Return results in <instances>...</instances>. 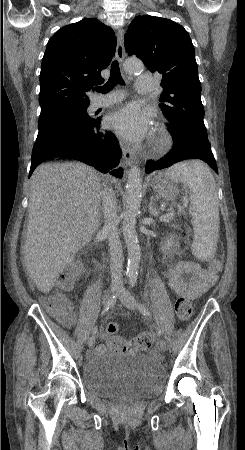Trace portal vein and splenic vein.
Here are the masks:
<instances>
[{"mask_svg":"<svg viewBox=\"0 0 245 450\" xmlns=\"http://www.w3.org/2000/svg\"><path fill=\"white\" fill-rule=\"evenodd\" d=\"M184 206H185V207L188 206V201H187V200L184 201ZM173 215H174V212H169V213H167V214L161 216V217H160V220H161V221H166L167 219H169V218L172 217Z\"/></svg>","mask_w":245,"mask_h":450,"instance_id":"portal-vein-and-splenic-vein-1","label":"portal vein and splenic vein"}]
</instances>
